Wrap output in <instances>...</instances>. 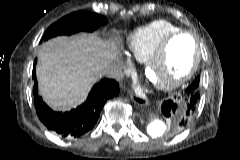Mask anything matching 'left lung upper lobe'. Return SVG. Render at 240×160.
Masks as SVG:
<instances>
[{
	"label": "left lung upper lobe",
	"mask_w": 240,
	"mask_h": 160,
	"mask_svg": "<svg viewBox=\"0 0 240 160\" xmlns=\"http://www.w3.org/2000/svg\"><path fill=\"white\" fill-rule=\"evenodd\" d=\"M199 80H200V77L198 76L194 82L190 85L192 87L193 90H199ZM191 120V118H189L188 122ZM184 126H186L185 124L183 123H179L176 125V128H178L179 130L182 129Z\"/></svg>",
	"instance_id": "1"
}]
</instances>
